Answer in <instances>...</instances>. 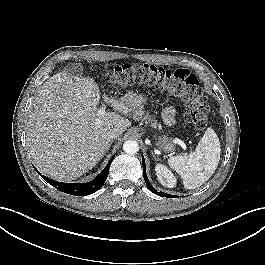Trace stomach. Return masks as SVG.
Instances as JSON below:
<instances>
[{"label": "stomach", "instance_id": "obj_1", "mask_svg": "<svg viewBox=\"0 0 265 265\" xmlns=\"http://www.w3.org/2000/svg\"><path fill=\"white\" fill-rule=\"evenodd\" d=\"M129 98L132 100V103H133L135 108L142 105L145 101V99L142 96H138V95H133ZM158 144H159L160 148L165 152L172 151L174 149V144L166 136L159 137L158 138Z\"/></svg>", "mask_w": 265, "mask_h": 265}]
</instances>
